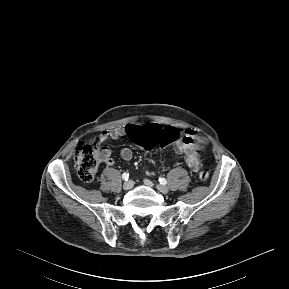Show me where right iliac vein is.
<instances>
[{
	"instance_id": "right-iliac-vein-1",
	"label": "right iliac vein",
	"mask_w": 289,
	"mask_h": 289,
	"mask_svg": "<svg viewBox=\"0 0 289 289\" xmlns=\"http://www.w3.org/2000/svg\"><path fill=\"white\" fill-rule=\"evenodd\" d=\"M133 186H134L133 181L129 180V181H127V182H124V184H123V189H125V190H130V189L133 188Z\"/></svg>"
}]
</instances>
